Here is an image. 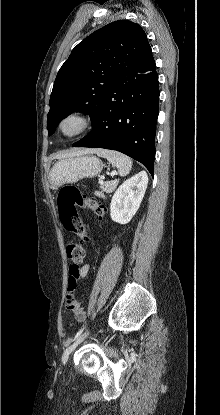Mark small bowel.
Masks as SVG:
<instances>
[{
  "label": "small bowel",
  "mask_w": 220,
  "mask_h": 415,
  "mask_svg": "<svg viewBox=\"0 0 220 415\" xmlns=\"http://www.w3.org/2000/svg\"><path fill=\"white\" fill-rule=\"evenodd\" d=\"M89 205L92 206V202H89ZM89 269H90L89 264H84L82 267H80L79 269L80 278H84L88 274ZM67 309L72 313V315L78 322H83L85 320L86 314L82 308L81 302L78 301L75 307H72V308L67 307Z\"/></svg>",
  "instance_id": "1"
}]
</instances>
